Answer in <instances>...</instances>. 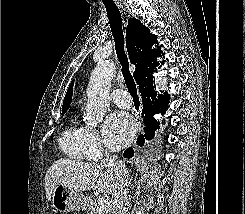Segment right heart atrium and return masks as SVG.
<instances>
[{"mask_svg":"<svg viewBox=\"0 0 245 214\" xmlns=\"http://www.w3.org/2000/svg\"><path fill=\"white\" fill-rule=\"evenodd\" d=\"M84 140L86 156L89 159L97 160L106 153L101 136L95 128L85 127Z\"/></svg>","mask_w":245,"mask_h":214,"instance_id":"obj_1","label":"right heart atrium"}]
</instances>
